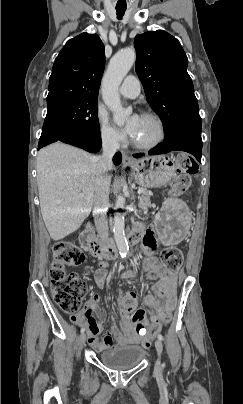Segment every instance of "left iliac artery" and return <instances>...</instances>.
Segmentation results:
<instances>
[{"mask_svg":"<svg viewBox=\"0 0 243 404\" xmlns=\"http://www.w3.org/2000/svg\"><path fill=\"white\" fill-rule=\"evenodd\" d=\"M158 339L162 341V340H163V336H162L161 334H158Z\"/></svg>","mask_w":243,"mask_h":404,"instance_id":"44dca946","label":"left iliac artery"}]
</instances>
